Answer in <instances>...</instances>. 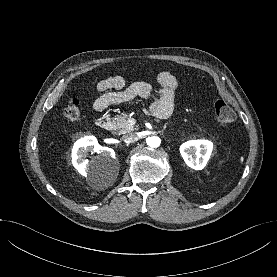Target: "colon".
Segmentation results:
<instances>
[{
    "instance_id": "5ec220e1",
    "label": "colon",
    "mask_w": 277,
    "mask_h": 277,
    "mask_svg": "<svg viewBox=\"0 0 277 277\" xmlns=\"http://www.w3.org/2000/svg\"><path fill=\"white\" fill-rule=\"evenodd\" d=\"M66 118L75 120L80 116V102L77 98H71L63 109ZM214 113L217 123L221 126L231 124L235 119L233 109L224 101H217L214 105Z\"/></svg>"
}]
</instances>
